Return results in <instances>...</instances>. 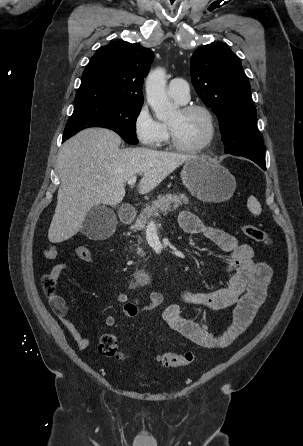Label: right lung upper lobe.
<instances>
[{
	"label": "right lung upper lobe",
	"instance_id": "1",
	"mask_svg": "<svg viewBox=\"0 0 303 446\" xmlns=\"http://www.w3.org/2000/svg\"><path fill=\"white\" fill-rule=\"evenodd\" d=\"M154 58L139 44L114 42L100 47L87 64L75 107L117 102L142 105V83Z\"/></svg>",
	"mask_w": 303,
	"mask_h": 446
}]
</instances>
